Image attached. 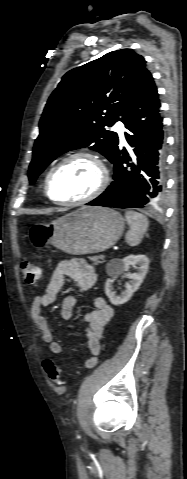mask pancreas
I'll return each mask as SVG.
<instances>
[{
    "mask_svg": "<svg viewBox=\"0 0 187 479\" xmlns=\"http://www.w3.org/2000/svg\"><path fill=\"white\" fill-rule=\"evenodd\" d=\"M90 259L93 262V265H98L104 262V259H102L101 256H93Z\"/></svg>",
    "mask_w": 187,
    "mask_h": 479,
    "instance_id": "1",
    "label": "pancreas"
}]
</instances>
